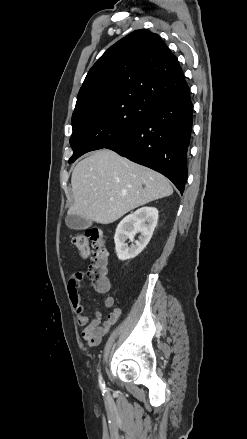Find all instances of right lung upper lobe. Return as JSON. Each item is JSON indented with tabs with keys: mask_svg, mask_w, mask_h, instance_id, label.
I'll return each instance as SVG.
<instances>
[{
	"mask_svg": "<svg viewBox=\"0 0 247 439\" xmlns=\"http://www.w3.org/2000/svg\"><path fill=\"white\" fill-rule=\"evenodd\" d=\"M189 89L176 56L161 38L136 30L111 46L88 72L73 115L117 100L150 107Z\"/></svg>",
	"mask_w": 247,
	"mask_h": 439,
	"instance_id": "cb5924a9",
	"label": "right lung upper lobe"
}]
</instances>
